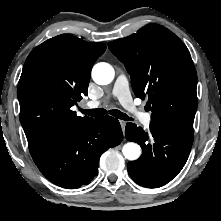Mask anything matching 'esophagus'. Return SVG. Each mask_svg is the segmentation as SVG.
<instances>
[{
    "label": "esophagus",
    "mask_w": 221,
    "mask_h": 221,
    "mask_svg": "<svg viewBox=\"0 0 221 221\" xmlns=\"http://www.w3.org/2000/svg\"><path fill=\"white\" fill-rule=\"evenodd\" d=\"M120 124H121L122 129L124 130L126 126V121L120 120Z\"/></svg>",
    "instance_id": "obj_1"
}]
</instances>
